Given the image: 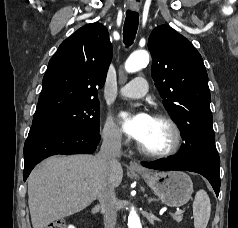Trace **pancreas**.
I'll use <instances>...</instances> for the list:
<instances>
[{
	"instance_id": "pancreas-1",
	"label": "pancreas",
	"mask_w": 238,
	"mask_h": 228,
	"mask_svg": "<svg viewBox=\"0 0 238 228\" xmlns=\"http://www.w3.org/2000/svg\"><path fill=\"white\" fill-rule=\"evenodd\" d=\"M172 217L178 223L181 222L183 219L182 215H180V214H174V215H172Z\"/></svg>"
}]
</instances>
